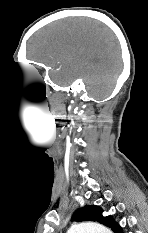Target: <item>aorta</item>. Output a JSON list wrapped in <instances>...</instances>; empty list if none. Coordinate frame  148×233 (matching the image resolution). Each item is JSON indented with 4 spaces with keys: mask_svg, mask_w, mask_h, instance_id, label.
Here are the masks:
<instances>
[{
    "mask_svg": "<svg viewBox=\"0 0 148 233\" xmlns=\"http://www.w3.org/2000/svg\"><path fill=\"white\" fill-rule=\"evenodd\" d=\"M67 233H112L105 226L94 222H83L72 225Z\"/></svg>",
    "mask_w": 148,
    "mask_h": 233,
    "instance_id": "762f6f07",
    "label": "aorta"
}]
</instances>
